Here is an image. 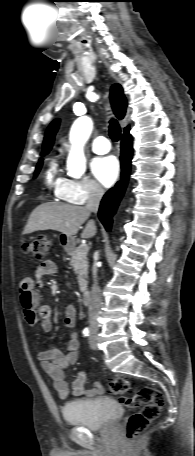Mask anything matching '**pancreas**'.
I'll use <instances>...</instances> for the list:
<instances>
[{
    "instance_id": "pancreas-1",
    "label": "pancreas",
    "mask_w": 195,
    "mask_h": 456,
    "mask_svg": "<svg viewBox=\"0 0 195 456\" xmlns=\"http://www.w3.org/2000/svg\"><path fill=\"white\" fill-rule=\"evenodd\" d=\"M71 256L70 265L74 268L75 274L79 283L80 290L83 292L87 288V275H88V258L87 252L83 248L77 247L69 251Z\"/></svg>"
}]
</instances>
